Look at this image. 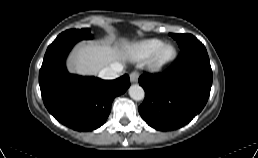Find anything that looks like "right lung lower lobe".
Segmentation results:
<instances>
[{"label":"right lung lower lobe","instance_id":"obj_1","mask_svg":"<svg viewBox=\"0 0 258 158\" xmlns=\"http://www.w3.org/2000/svg\"><path fill=\"white\" fill-rule=\"evenodd\" d=\"M78 41L54 40L39 71V85L47 110L59 122L77 131H91L104 124L113 99L123 94L130 82L128 75L108 81L69 74L65 60Z\"/></svg>","mask_w":258,"mask_h":158}]
</instances>
